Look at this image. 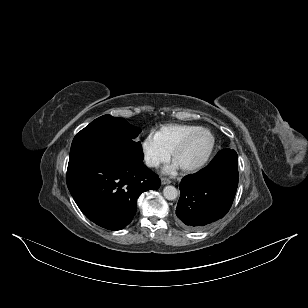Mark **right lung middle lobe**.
<instances>
[{"label": "right lung middle lobe", "mask_w": 308, "mask_h": 308, "mask_svg": "<svg viewBox=\"0 0 308 308\" xmlns=\"http://www.w3.org/2000/svg\"><path fill=\"white\" fill-rule=\"evenodd\" d=\"M141 129L125 119L103 115L82 129L73 139L69 160L85 156H112L142 161Z\"/></svg>", "instance_id": "dd1d6c3e"}]
</instances>
